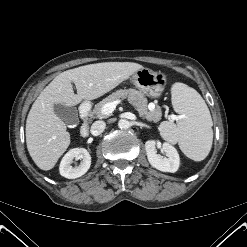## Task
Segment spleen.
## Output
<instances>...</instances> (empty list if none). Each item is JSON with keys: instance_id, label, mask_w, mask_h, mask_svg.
<instances>
[{"instance_id": "obj_1", "label": "spleen", "mask_w": 247, "mask_h": 247, "mask_svg": "<svg viewBox=\"0 0 247 247\" xmlns=\"http://www.w3.org/2000/svg\"><path fill=\"white\" fill-rule=\"evenodd\" d=\"M171 100L174 110L180 114L179 121L177 124L162 122L160 134L165 140L178 143L188 158L204 160L213 142V122L204 99L195 89L177 82L172 86Z\"/></svg>"}]
</instances>
